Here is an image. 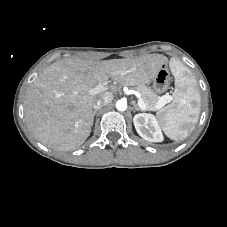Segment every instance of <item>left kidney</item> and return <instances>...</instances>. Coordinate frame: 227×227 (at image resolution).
<instances>
[{"instance_id": "1", "label": "left kidney", "mask_w": 227, "mask_h": 227, "mask_svg": "<svg viewBox=\"0 0 227 227\" xmlns=\"http://www.w3.org/2000/svg\"><path fill=\"white\" fill-rule=\"evenodd\" d=\"M137 133L149 142L163 141V135L157 118L153 114L139 113L133 118Z\"/></svg>"}]
</instances>
